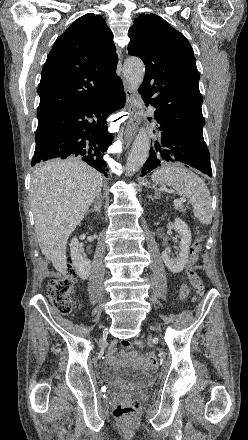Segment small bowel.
<instances>
[{
    "mask_svg": "<svg viewBox=\"0 0 248 440\" xmlns=\"http://www.w3.org/2000/svg\"><path fill=\"white\" fill-rule=\"evenodd\" d=\"M188 289L186 287V285H182L181 290H180V296L181 298H185L187 295ZM120 346L121 347H130L131 346V339L130 338H121L120 339ZM116 349H117V342L116 341H112L108 354H107V360L110 363H115L117 361V357H116ZM133 357L138 358L142 361L145 360H150V357H145L143 355H136V354H132Z\"/></svg>",
    "mask_w": 248,
    "mask_h": 440,
    "instance_id": "c3829d8e",
    "label": "small bowel"
}]
</instances>
